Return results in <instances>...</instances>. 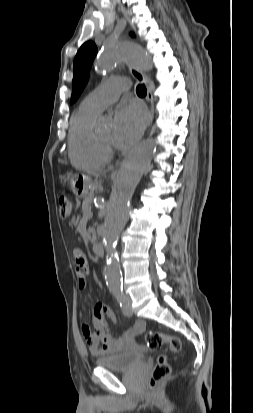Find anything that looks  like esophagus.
Masks as SVG:
<instances>
[{
	"label": "esophagus",
	"mask_w": 253,
	"mask_h": 413,
	"mask_svg": "<svg viewBox=\"0 0 253 413\" xmlns=\"http://www.w3.org/2000/svg\"><path fill=\"white\" fill-rule=\"evenodd\" d=\"M129 71H130L131 75H132L137 81H139V82H141V83H144V84L146 85V87H147V100H148V102H149V109H150L148 126L150 127L151 124H152L153 118H154V102H153L152 91H151L150 87L148 86L146 76H145V74H144L142 71H140V70H138V69H136V68H134V67H129ZM117 173H118V170H117V169L114 170V171L112 172V177H115V176L117 175Z\"/></svg>",
	"instance_id": "34e87169"
}]
</instances>
